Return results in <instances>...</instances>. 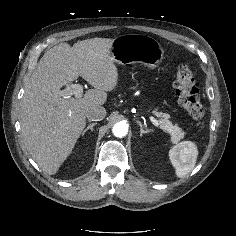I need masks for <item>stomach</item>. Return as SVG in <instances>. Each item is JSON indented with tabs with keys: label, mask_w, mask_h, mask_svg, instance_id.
Returning a JSON list of instances; mask_svg holds the SVG:
<instances>
[{
	"label": "stomach",
	"mask_w": 236,
	"mask_h": 236,
	"mask_svg": "<svg viewBox=\"0 0 236 236\" xmlns=\"http://www.w3.org/2000/svg\"><path fill=\"white\" fill-rule=\"evenodd\" d=\"M111 57L115 63H140L155 69L164 59L161 44L145 34H124L113 39Z\"/></svg>",
	"instance_id": "obj_1"
}]
</instances>
